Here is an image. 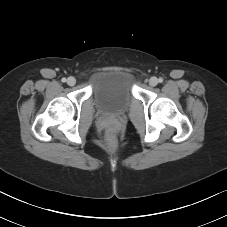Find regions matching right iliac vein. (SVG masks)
Returning <instances> with one entry per match:
<instances>
[{"label":"right iliac vein","instance_id":"right-iliac-vein-1","mask_svg":"<svg viewBox=\"0 0 227 227\" xmlns=\"http://www.w3.org/2000/svg\"><path fill=\"white\" fill-rule=\"evenodd\" d=\"M67 84H68L69 86H74V85L76 84V79H75L74 77H69V78L67 79Z\"/></svg>","mask_w":227,"mask_h":227}]
</instances>
